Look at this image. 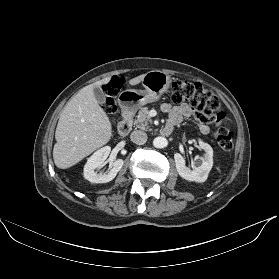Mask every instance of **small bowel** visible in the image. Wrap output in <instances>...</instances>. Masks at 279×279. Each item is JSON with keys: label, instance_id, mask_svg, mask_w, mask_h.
Instances as JSON below:
<instances>
[{"label": "small bowel", "instance_id": "c3829d8e", "mask_svg": "<svg viewBox=\"0 0 279 279\" xmlns=\"http://www.w3.org/2000/svg\"><path fill=\"white\" fill-rule=\"evenodd\" d=\"M161 110L164 113H168L167 125H171L172 127L179 124L184 118L190 117L193 113L192 108L187 104L172 105L170 103H163ZM197 128L202 134H208L210 132L208 123H200Z\"/></svg>", "mask_w": 279, "mask_h": 279}]
</instances>
